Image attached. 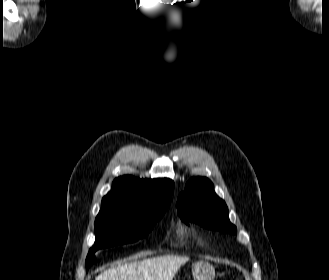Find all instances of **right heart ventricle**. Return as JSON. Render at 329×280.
<instances>
[{
	"label": "right heart ventricle",
	"instance_id": "1",
	"mask_svg": "<svg viewBox=\"0 0 329 280\" xmlns=\"http://www.w3.org/2000/svg\"><path fill=\"white\" fill-rule=\"evenodd\" d=\"M179 231H180V232H183L184 230L181 228Z\"/></svg>",
	"mask_w": 329,
	"mask_h": 280
}]
</instances>
